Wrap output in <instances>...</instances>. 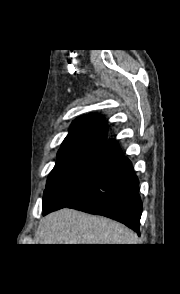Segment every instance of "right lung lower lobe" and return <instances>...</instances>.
I'll use <instances>...</instances> for the list:
<instances>
[{"mask_svg":"<svg viewBox=\"0 0 180 294\" xmlns=\"http://www.w3.org/2000/svg\"><path fill=\"white\" fill-rule=\"evenodd\" d=\"M131 162L114 139L104 141L48 206L69 207L122 222L139 234L142 203Z\"/></svg>","mask_w":180,"mask_h":294,"instance_id":"right-lung-lower-lobe-1","label":"right lung lower lobe"}]
</instances>
